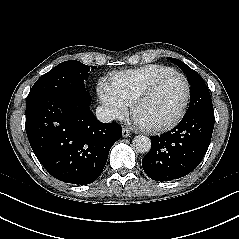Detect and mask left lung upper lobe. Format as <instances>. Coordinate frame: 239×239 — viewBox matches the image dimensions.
I'll return each mask as SVG.
<instances>
[{"label": "left lung upper lobe", "mask_w": 239, "mask_h": 239, "mask_svg": "<svg viewBox=\"0 0 239 239\" xmlns=\"http://www.w3.org/2000/svg\"><path fill=\"white\" fill-rule=\"evenodd\" d=\"M168 59L186 74L187 80L191 85L190 104L184 116L203 110H213L211 96L203 78L179 59L170 57Z\"/></svg>", "instance_id": "left-lung-upper-lobe-1"}]
</instances>
